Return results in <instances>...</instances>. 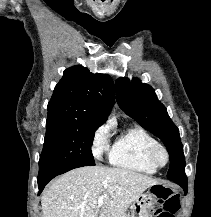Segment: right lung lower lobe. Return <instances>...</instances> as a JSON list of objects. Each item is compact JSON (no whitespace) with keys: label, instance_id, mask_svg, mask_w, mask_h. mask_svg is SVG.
<instances>
[{"label":"right lung lower lobe","instance_id":"1","mask_svg":"<svg viewBox=\"0 0 211 217\" xmlns=\"http://www.w3.org/2000/svg\"><path fill=\"white\" fill-rule=\"evenodd\" d=\"M74 169V167H65V168H58V169H52V170H48L44 173H41L38 175V188H39V193L42 192V190L44 189L45 185L54 177L63 174L69 170Z\"/></svg>","mask_w":211,"mask_h":217}]
</instances>
